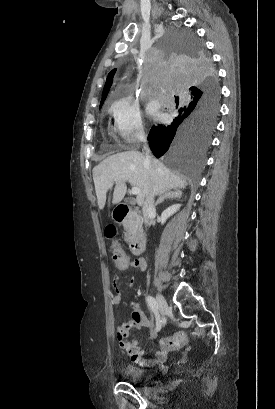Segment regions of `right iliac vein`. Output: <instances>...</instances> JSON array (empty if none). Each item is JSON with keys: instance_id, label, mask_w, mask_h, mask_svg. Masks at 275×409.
I'll return each instance as SVG.
<instances>
[{"instance_id": "63e3f726", "label": "right iliac vein", "mask_w": 275, "mask_h": 409, "mask_svg": "<svg viewBox=\"0 0 275 409\" xmlns=\"http://www.w3.org/2000/svg\"><path fill=\"white\" fill-rule=\"evenodd\" d=\"M156 300H157V305H158V309L160 311V313L163 315L165 314V312H167L168 310V304L166 302V299L164 298V296L160 293H158L156 295Z\"/></svg>"}]
</instances>
